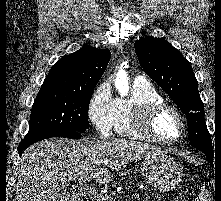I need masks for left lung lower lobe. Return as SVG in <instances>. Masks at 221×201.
<instances>
[{"instance_id": "obj_1", "label": "left lung lower lobe", "mask_w": 221, "mask_h": 201, "mask_svg": "<svg viewBox=\"0 0 221 201\" xmlns=\"http://www.w3.org/2000/svg\"><path fill=\"white\" fill-rule=\"evenodd\" d=\"M206 156H207V157H206V160L213 165V154H211V155H207V154H206Z\"/></svg>"}]
</instances>
